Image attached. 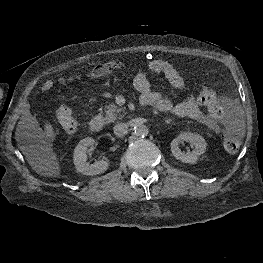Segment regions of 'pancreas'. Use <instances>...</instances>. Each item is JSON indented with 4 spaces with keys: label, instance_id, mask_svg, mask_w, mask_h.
<instances>
[{
    "label": "pancreas",
    "instance_id": "obj_1",
    "mask_svg": "<svg viewBox=\"0 0 263 263\" xmlns=\"http://www.w3.org/2000/svg\"><path fill=\"white\" fill-rule=\"evenodd\" d=\"M105 121L110 123V122H114L117 119H122L123 118V114H122V110L116 106L115 104H109L105 107Z\"/></svg>",
    "mask_w": 263,
    "mask_h": 263
}]
</instances>
